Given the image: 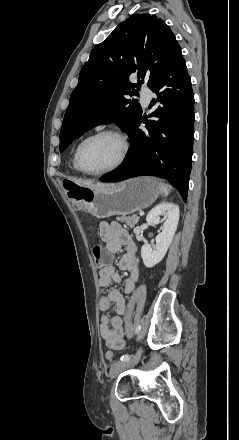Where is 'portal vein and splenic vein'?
Segmentation results:
<instances>
[{
  "label": "portal vein and splenic vein",
  "instance_id": "portal-vein-and-splenic-vein-1",
  "mask_svg": "<svg viewBox=\"0 0 239 440\" xmlns=\"http://www.w3.org/2000/svg\"><path fill=\"white\" fill-rule=\"evenodd\" d=\"M144 213H145V212L143 211V212H140L139 214H140V215H143Z\"/></svg>",
  "mask_w": 239,
  "mask_h": 440
}]
</instances>
